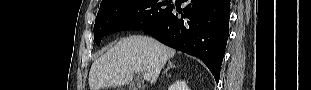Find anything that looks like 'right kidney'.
Returning <instances> with one entry per match:
<instances>
[{"label": "right kidney", "instance_id": "1", "mask_svg": "<svg viewBox=\"0 0 311 90\" xmlns=\"http://www.w3.org/2000/svg\"><path fill=\"white\" fill-rule=\"evenodd\" d=\"M177 90H189L185 82H178L176 85Z\"/></svg>", "mask_w": 311, "mask_h": 90}]
</instances>
